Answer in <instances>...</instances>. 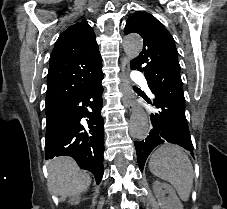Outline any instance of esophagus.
Returning a JSON list of instances; mask_svg holds the SVG:
<instances>
[{
  "instance_id": "1",
  "label": "esophagus",
  "mask_w": 227,
  "mask_h": 209,
  "mask_svg": "<svg viewBox=\"0 0 227 209\" xmlns=\"http://www.w3.org/2000/svg\"><path fill=\"white\" fill-rule=\"evenodd\" d=\"M129 73H130V65L129 60L127 57H123L121 59V90L124 94L123 102L126 105L127 108H129L131 113H134L135 116H138L139 113H144V108H136L137 103L135 102L136 96L132 90V88L129 85L130 79H129Z\"/></svg>"
}]
</instances>
